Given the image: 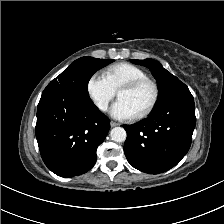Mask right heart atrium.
I'll use <instances>...</instances> for the list:
<instances>
[{"label": "right heart atrium", "mask_w": 224, "mask_h": 224, "mask_svg": "<svg viewBox=\"0 0 224 224\" xmlns=\"http://www.w3.org/2000/svg\"><path fill=\"white\" fill-rule=\"evenodd\" d=\"M86 91L93 104L101 112L108 110L110 102L115 97V91L105 76L99 73H95L88 78Z\"/></svg>", "instance_id": "1"}]
</instances>
